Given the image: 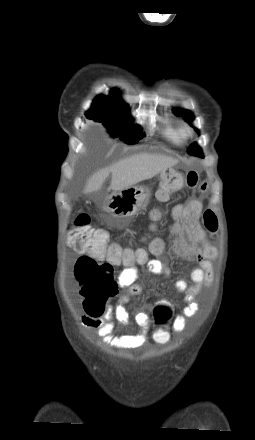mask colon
Returning a JSON list of instances; mask_svg holds the SVG:
<instances>
[{
	"mask_svg": "<svg viewBox=\"0 0 255 440\" xmlns=\"http://www.w3.org/2000/svg\"><path fill=\"white\" fill-rule=\"evenodd\" d=\"M199 182L197 171L190 170L185 174L169 171L162 177L157 198L160 201L169 199L171 193L184 185L195 188ZM160 217L158 212L152 213L153 220ZM203 223L208 231H214L218 226L215 212L207 208L203 213ZM107 233L102 229L92 227L87 214L78 215L69 228L68 243L82 255L75 263V278L82 288L84 309L86 315L96 318L106 310V303L114 296L117 285L113 278V267L120 264H131L141 257L140 250L123 248L116 243L108 244ZM154 250L159 248L153 243ZM154 321L156 330L152 341L157 342L158 348H165L170 335L168 326L173 315V305L168 298H155Z\"/></svg>",
	"mask_w": 255,
	"mask_h": 440,
	"instance_id": "5ec220e1",
	"label": "colon"
}]
</instances>
